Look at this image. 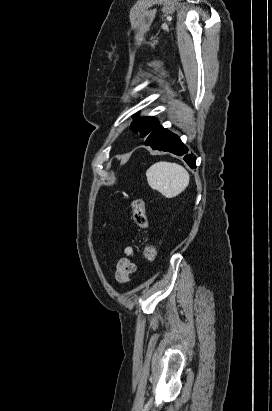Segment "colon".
Listing matches in <instances>:
<instances>
[{"mask_svg": "<svg viewBox=\"0 0 272 411\" xmlns=\"http://www.w3.org/2000/svg\"><path fill=\"white\" fill-rule=\"evenodd\" d=\"M131 207L135 223L140 228L146 229L148 227V218L146 214L144 201L141 198H135L131 203ZM143 256L149 262H154L157 258L155 249L150 245L144 246Z\"/></svg>", "mask_w": 272, "mask_h": 411, "instance_id": "colon-1", "label": "colon"}]
</instances>
